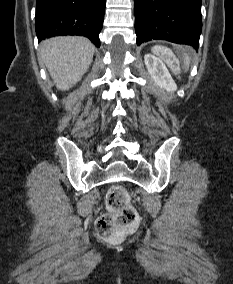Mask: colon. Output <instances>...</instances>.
<instances>
[{
    "label": "colon",
    "mask_w": 233,
    "mask_h": 284,
    "mask_svg": "<svg viewBox=\"0 0 233 284\" xmlns=\"http://www.w3.org/2000/svg\"><path fill=\"white\" fill-rule=\"evenodd\" d=\"M153 52L165 62L175 75H180L179 60L170 48L156 45ZM106 206L108 213L97 219L96 231L100 237L106 240L118 241L124 233L136 225L138 221L137 212L130 203L128 191L119 185L113 186L107 192Z\"/></svg>",
    "instance_id": "colon-1"
}]
</instances>
